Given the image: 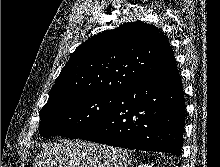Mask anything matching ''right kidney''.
Returning <instances> with one entry per match:
<instances>
[{"label": "right kidney", "mask_w": 220, "mask_h": 167, "mask_svg": "<svg viewBox=\"0 0 220 167\" xmlns=\"http://www.w3.org/2000/svg\"><path fill=\"white\" fill-rule=\"evenodd\" d=\"M139 167H152V166L149 165V164H142V165H140Z\"/></svg>", "instance_id": "1"}]
</instances>
